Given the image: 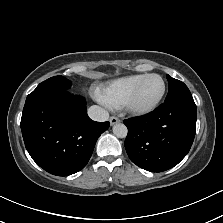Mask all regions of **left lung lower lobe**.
<instances>
[{"label":"left lung lower lobe","instance_id":"obj_1","mask_svg":"<svg viewBox=\"0 0 223 223\" xmlns=\"http://www.w3.org/2000/svg\"><path fill=\"white\" fill-rule=\"evenodd\" d=\"M128 128L125 148L131 161L162 172L177 165L189 152L196 133L194 101H168L153 112L123 121Z\"/></svg>","mask_w":223,"mask_h":223}]
</instances>
